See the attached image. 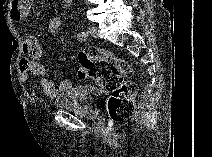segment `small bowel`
Masks as SVG:
<instances>
[{"label": "small bowel", "mask_w": 212, "mask_h": 157, "mask_svg": "<svg viewBox=\"0 0 212 157\" xmlns=\"http://www.w3.org/2000/svg\"><path fill=\"white\" fill-rule=\"evenodd\" d=\"M33 0H13L9 7V17L13 21H21L26 19L31 11ZM62 21L54 18L49 24V32L54 34L61 27ZM23 57L19 62L20 78L23 82L29 80V76L39 77V87L44 96L55 98L68 92L72 83L69 79H62L58 85L48 78L46 68L40 63L41 46L38 39L29 35L22 45Z\"/></svg>", "instance_id": "small-bowel-1"}]
</instances>
